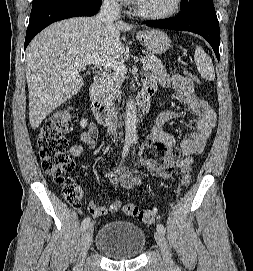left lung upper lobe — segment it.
Masks as SVG:
<instances>
[{
	"instance_id": "1",
	"label": "left lung upper lobe",
	"mask_w": 253,
	"mask_h": 271,
	"mask_svg": "<svg viewBox=\"0 0 253 271\" xmlns=\"http://www.w3.org/2000/svg\"><path fill=\"white\" fill-rule=\"evenodd\" d=\"M209 2H213V0H182L180 5L181 11L179 14L182 16H188L203 9Z\"/></svg>"
}]
</instances>
